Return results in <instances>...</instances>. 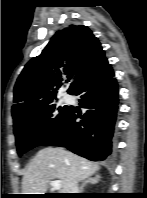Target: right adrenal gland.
<instances>
[{"label":"right adrenal gland","mask_w":147,"mask_h":198,"mask_svg":"<svg viewBox=\"0 0 147 198\" xmlns=\"http://www.w3.org/2000/svg\"><path fill=\"white\" fill-rule=\"evenodd\" d=\"M100 181V175L98 174H95L94 177H91L89 179H86L85 181H83L80 189H79V193H82L83 192V189L84 187L88 184V183H91V184H97L98 182Z\"/></svg>","instance_id":"1"}]
</instances>
